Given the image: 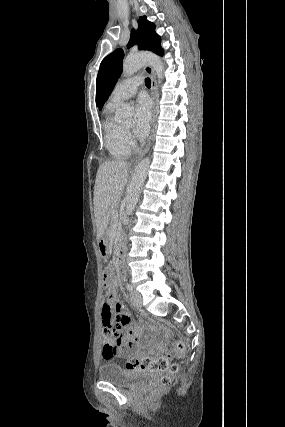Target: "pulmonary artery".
Returning <instances> with one entry per match:
<instances>
[{
  "instance_id": "obj_1",
  "label": "pulmonary artery",
  "mask_w": 285,
  "mask_h": 427,
  "mask_svg": "<svg viewBox=\"0 0 285 427\" xmlns=\"http://www.w3.org/2000/svg\"><path fill=\"white\" fill-rule=\"evenodd\" d=\"M142 83V79L138 76H133L125 79L113 90L110 96V103L120 104L123 101L132 98Z\"/></svg>"
}]
</instances>
